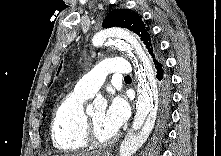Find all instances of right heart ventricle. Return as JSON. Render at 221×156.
<instances>
[{
    "label": "right heart ventricle",
    "instance_id": "1",
    "mask_svg": "<svg viewBox=\"0 0 221 156\" xmlns=\"http://www.w3.org/2000/svg\"><path fill=\"white\" fill-rule=\"evenodd\" d=\"M90 97L73 90L54 111L51 123L53 146L62 152H76L88 146L84 139V105Z\"/></svg>",
    "mask_w": 221,
    "mask_h": 156
}]
</instances>
